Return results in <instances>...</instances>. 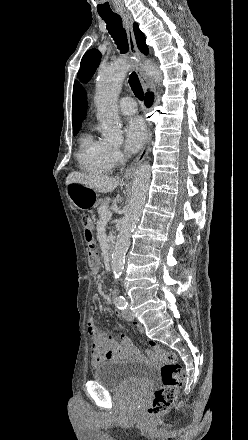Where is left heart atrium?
<instances>
[{
  "label": "left heart atrium",
  "mask_w": 248,
  "mask_h": 440,
  "mask_svg": "<svg viewBox=\"0 0 248 440\" xmlns=\"http://www.w3.org/2000/svg\"><path fill=\"white\" fill-rule=\"evenodd\" d=\"M125 148L129 153L138 151L146 139V127L139 117L128 120L124 128Z\"/></svg>",
  "instance_id": "1"
}]
</instances>
